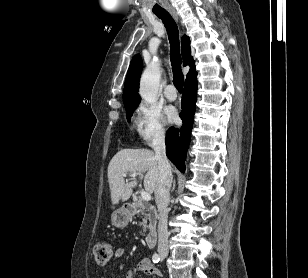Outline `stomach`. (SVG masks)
I'll return each mask as SVG.
<instances>
[{
    "mask_svg": "<svg viewBox=\"0 0 308 278\" xmlns=\"http://www.w3.org/2000/svg\"><path fill=\"white\" fill-rule=\"evenodd\" d=\"M130 220V212L127 208H120L114 211L111 215L112 225L118 228L125 227Z\"/></svg>",
    "mask_w": 308,
    "mask_h": 278,
    "instance_id": "obj_1",
    "label": "stomach"
}]
</instances>
